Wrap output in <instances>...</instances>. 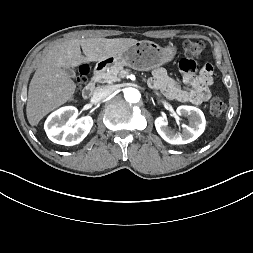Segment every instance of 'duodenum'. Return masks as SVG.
Listing matches in <instances>:
<instances>
[{"label":"duodenum","instance_id":"obj_1","mask_svg":"<svg viewBox=\"0 0 253 253\" xmlns=\"http://www.w3.org/2000/svg\"><path fill=\"white\" fill-rule=\"evenodd\" d=\"M102 72H103L102 66H98L95 69L90 81L82 90V96L84 99H89L92 96V93L96 87L98 80L100 79V77L102 75Z\"/></svg>","mask_w":253,"mask_h":253}]
</instances>
